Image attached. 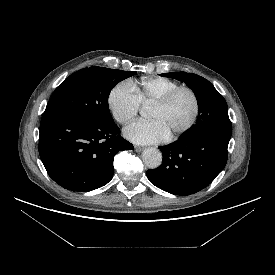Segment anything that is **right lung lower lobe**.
Segmentation results:
<instances>
[{"instance_id": "right-lung-lower-lobe-1", "label": "right lung lower lobe", "mask_w": 275, "mask_h": 275, "mask_svg": "<svg viewBox=\"0 0 275 275\" xmlns=\"http://www.w3.org/2000/svg\"><path fill=\"white\" fill-rule=\"evenodd\" d=\"M113 122L68 113L43 115L39 154L49 176L71 191L88 192L113 177V158L133 145Z\"/></svg>"}]
</instances>
